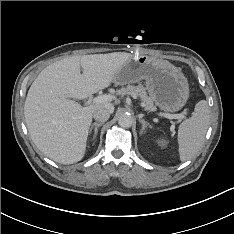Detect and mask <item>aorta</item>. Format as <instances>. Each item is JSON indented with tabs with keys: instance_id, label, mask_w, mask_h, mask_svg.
<instances>
[{
	"instance_id": "1",
	"label": "aorta",
	"mask_w": 234,
	"mask_h": 234,
	"mask_svg": "<svg viewBox=\"0 0 234 234\" xmlns=\"http://www.w3.org/2000/svg\"><path fill=\"white\" fill-rule=\"evenodd\" d=\"M132 123H133V118L128 113H123L118 118V124L123 128L131 127Z\"/></svg>"
}]
</instances>
